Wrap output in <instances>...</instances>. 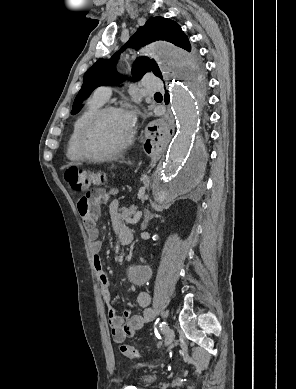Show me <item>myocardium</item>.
<instances>
[{
	"mask_svg": "<svg viewBox=\"0 0 296 389\" xmlns=\"http://www.w3.org/2000/svg\"><path fill=\"white\" fill-rule=\"evenodd\" d=\"M112 113H121L128 114L125 109L118 106H105L95 112L84 124L81 129L78 141V147L83 158L91 160V161H100L104 159H109L116 157L122 154L125 150H127L134 142L135 139V127L133 123H131L130 133L127 139L118 147L113 150L103 152V153H93L89 148V137L96 126V124L106 115Z\"/></svg>",
	"mask_w": 296,
	"mask_h": 389,
	"instance_id": "obj_1",
	"label": "myocardium"
}]
</instances>
